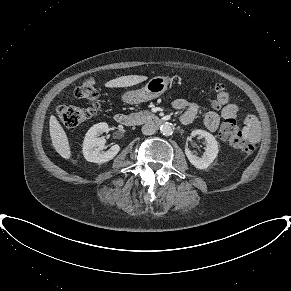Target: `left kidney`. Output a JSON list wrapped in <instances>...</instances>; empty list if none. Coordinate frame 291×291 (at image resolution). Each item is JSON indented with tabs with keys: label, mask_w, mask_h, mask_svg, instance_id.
Segmentation results:
<instances>
[{
	"label": "left kidney",
	"mask_w": 291,
	"mask_h": 291,
	"mask_svg": "<svg viewBox=\"0 0 291 291\" xmlns=\"http://www.w3.org/2000/svg\"><path fill=\"white\" fill-rule=\"evenodd\" d=\"M199 135L203 137L206 141V148L203 155L200 157L194 155L191 150L186 147L185 154L189 162L194 165L197 169L204 170L209 167V165L215 160L219 152L218 142L215 137L205 130H194L191 136Z\"/></svg>",
	"instance_id": "left-kidney-1"
}]
</instances>
